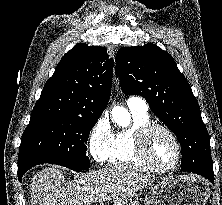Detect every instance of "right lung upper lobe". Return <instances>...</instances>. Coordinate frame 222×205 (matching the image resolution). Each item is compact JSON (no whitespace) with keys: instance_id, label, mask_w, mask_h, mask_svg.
Masks as SVG:
<instances>
[{"instance_id":"cb5924a9","label":"right lung upper lobe","mask_w":222,"mask_h":205,"mask_svg":"<svg viewBox=\"0 0 222 205\" xmlns=\"http://www.w3.org/2000/svg\"><path fill=\"white\" fill-rule=\"evenodd\" d=\"M113 59L100 46L77 44L46 82L31 117L51 114L100 116L111 93Z\"/></svg>"}]
</instances>
